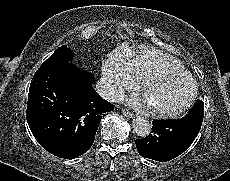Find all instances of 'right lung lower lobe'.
<instances>
[{
	"mask_svg": "<svg viewBox=\"0 0 230 181\" xmlns=\"http://www.w3.org/2000/svg\"><path fill=\"white\" fill-rule=\"evenodd\" d=\"M92 83V74L69 62L40 67L33 76L26 118L49 153L72 159L92 146L103 113L114 109Z\"/></svg>",
	"mask_w": 230,
	"mask_h": 181,
	"instance_id": "1",
	"label": "right lung lower lobe"
}]
</instances>
